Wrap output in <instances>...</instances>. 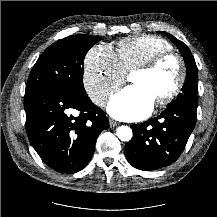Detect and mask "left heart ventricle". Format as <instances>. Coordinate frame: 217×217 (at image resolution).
I'll use <instances>...</instances> for the list:
<instances>
[{"mask_svg": "<svg viewBox=\"0 0 217 217\" xmlns=\"http://www.w3.org/2000/svg\"><path fill=\"white\" fill-rule=\"evenodd\" d=\"M129 79L132 85L142 87L156 101L173 88L176 68L173 62H167L155 73L134 72Z\"/></svg>", "mask_w": 217, "mask_h": 217, "instance_id": "left-heart-ventricle-1", "label": "left heart ventricle"}]
</instances>
